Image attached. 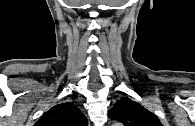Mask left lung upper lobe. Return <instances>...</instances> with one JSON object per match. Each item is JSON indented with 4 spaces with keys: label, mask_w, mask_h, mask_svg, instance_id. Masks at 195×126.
I'll return each instance as SVG.
<instances>
[{
    "label": "left lung upper lobe",
    "mask_w": 195,
    "mask_h": 126,
    "mask_svg": "<svg viewBox=\"0 0 195 126\" xmlns=\"http://www.w3.org/2000/svg\"><path fill=\"white\" fill-rule=\"evenodd\" d=\"M108 115L125 126H162L153 113L126 97L118 100Z\"/></svg>",
    "instance_id": "obj_1"
}]
</instances>
